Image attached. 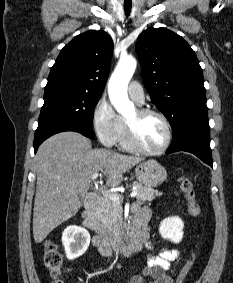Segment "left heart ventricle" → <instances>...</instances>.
<instances>
[{"instance_id": "left-heart-ventricle-1", "label": "left heart ventricle", "mask_w": 233, "mask_h": 283, "mask_svg": "<svg viewBox=\"0 0 233 283\" xmlns=\"http://www.w3.org/2000/svg\"><path fill=\"white\" fill-rule=\"evenodd\" d=\"M126 120L135 126L137 139L146 149L157 150L164 145L167 132L159 117L148 115L140 118L134 111Z\"/></svg>"}]
</instances>
